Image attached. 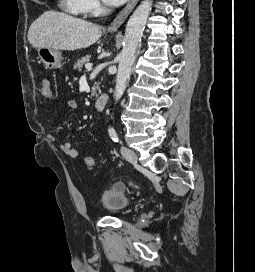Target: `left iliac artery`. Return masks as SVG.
I'll return each instance as SVG.
<instances>
[{
  "label": "left iliac artery",
  "instance_id": "left-iliac-artery-1",
  "mask_svg": "<svg viewBox=\"0 0 255 272\" xmlns=\"http://www.w3.org/2000/svg\"><path fill=\"white\" fill-rule=\"evenodd\" d=\"M108 131H109V135H110L111 139L114 142H119V138H118V135H117L115 129L114 128H110ZM120 143H121V141H120Z\"/></svg>",
  "mask_w": 255,
  "mask_h": 272
}]
</instances>
